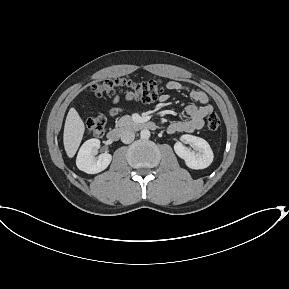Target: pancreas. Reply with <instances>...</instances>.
Instances as JSON below:
<instances>
[{
    "label": "pancreas",
    "instance_id": "cf45deb5",
    "mask_svg": "<svg viewBox=\"0 0 289 289\" xmlns=\"http://www.w3.org/2000/svg\"><path fill=\"white\" fill-rule=\"evenodd\" d=\"M134 124L132 117L129 115L122 116L116 123L118 127L129 126Z\"/></svg>",
    "mask_w": 289,
    "mask_h": 289
}]
</instances>
